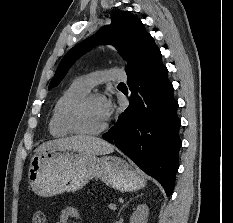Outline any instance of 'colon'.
<instances>
[{
    "instance_id": "obj_1",
    "label": "colon",
    "mask_w": 233,
    "mask_h": 223,
    "mask_svg": "<svg viewBox=\"0 0 233 223\" xmlns=\"http://www.w3.org/2000/svg\"><path fill=\"white\" fill-rule=\"evenodd\" d=\"M32 223H45L44 216L41 214H35L33 216Z\"/></svg>"
}]
</instances>
